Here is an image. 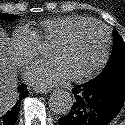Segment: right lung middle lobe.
Listing matches in <instances>:
<instances>
[{"mask_svg":"<svg viewBox=\"0 0 125 125\" xmlns=\"http://www.w3.org/2000/svg\"><path fill=\"white\" fill-rule=\"evenodd\" d=\"M0 18L6 19V20H13V19H16L19 17L17 15H13V14L0 13Z\"/></svg>","mask_w":125,"mask_h":125,"instance_id":"1","label":"right lung middle lobe"}]
</instances>
